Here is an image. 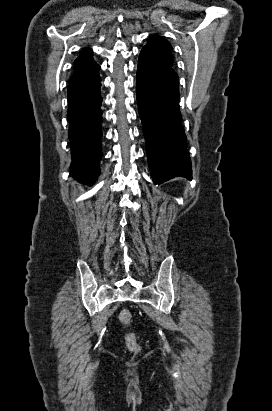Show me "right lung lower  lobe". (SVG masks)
Segmentation results:
<instances>
[{
  "mask_svg": "<svg viewBox=\"0 0 272 411\" xmlns=\"http://www.w3.org/2000/svg\"><path fill=\"white\" fill-rule=\"evenodd\" d=\"M100 77L88 86L68 92L71 175L85 184H92L100 173L102 97Z\"/></svg>",
  "mask_w": 272,
  "mask_h": 411,
  "instance_id": "98d812e1",
  "label": "right lung lower lobe"
}]
</instances>
